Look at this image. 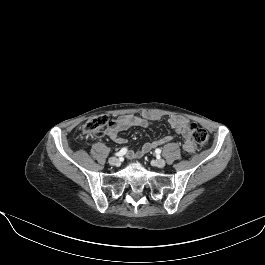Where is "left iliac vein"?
<instances>
[{
  "instance_id": "1",
  "label": "left iliac vein",
  "mask_w": 265,
  "mask_h": 265,
  "mask_svg": "<svg viewBox=\"0 0 265 265\" xmlns=\"http://www.w3.org/2000/svg\"><path fill=\"white\" fill-rule=\"evenodd\" d=\"M166 162L163 159H157L154 162V165L159 167V168H163L165 166Z\"/></svg>"
}]
</instances>
